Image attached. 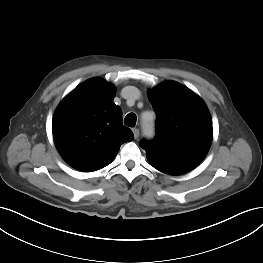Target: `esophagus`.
Returning <instances> with one entry per match:
<instances>
[{
    "mask_svg": "<svg viewBox=\"0 0 263 263\" xmlns=\"http://www.w3.org/2000/svg\"><path fill=\"white\" fill-rule=\"evenodd\" d=\"M132 131L134 134V138L137 139L139 137V134H140L139 129L133 128Z\"/></svg>",
    "mask_w": 263,
    "mask_h": 263,
    "instance_id": "34e87169",
    "label": "esophagus"
}]
</instances>
